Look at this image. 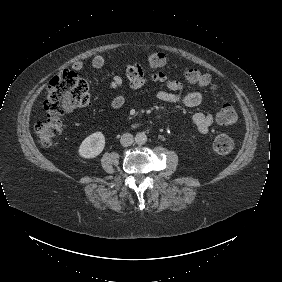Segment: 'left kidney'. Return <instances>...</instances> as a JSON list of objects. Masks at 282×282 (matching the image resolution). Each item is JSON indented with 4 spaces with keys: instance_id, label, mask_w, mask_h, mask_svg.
<instances>
[{
    "instance_id": "5707ae66",
    "label": "left kidney",
    "mask_w": 282,
    "mask_h": 282,
    "mask_svg": "<svg viewBox=\"0 0 282 282\" xmlns=\"http://www.w3.org/2000/svg\"><path fill=\"white\" fill-rule=\"evenodd\" d=\"M189 138H190V139H194V135H193V134H190V135H189Z\"/></svg>"
}]
</instances>
